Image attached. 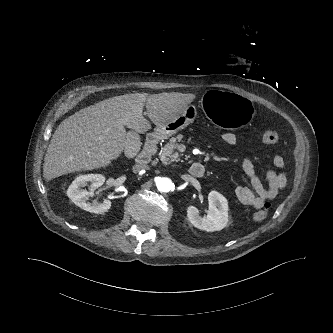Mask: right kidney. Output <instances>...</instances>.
Segmentation results:
<instances>
[{"mask_svg":"<svg viewBox=\"0 0 333 333\" xmlns=\"http://www.w3.org/2000/svg\"><path fill=\"white\" fill-rule=\"evenodd\" d=\"M90 182V190L81 189ZM105 182V177L102 174H86L75 178L67 190L68 197L80 208L96 214H101L108 211L111 207L110 200H104L102 203H88L87 200L93 195V191L102 186Z\"/></svg>","mask_w":333,"mask_h":333,"instance_id":"right-kidney-1","label":"right kidney"}]
</instances>
